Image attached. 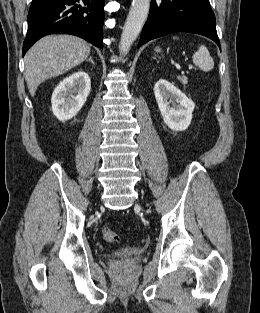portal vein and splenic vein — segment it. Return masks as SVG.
Wrapping results in <instances>:
<instances>
[{"label": "portal vein and splenic vein", "mask_w": 260, "mask_h": 313, "mask_svg": "<svg viewBox=\"0 0 260 313\" xmlns=\"http://www.w3.org/2000/svg\"><path fill=\"white\" fill-rule=\"evenodd\" d=\"M192 68H193V66L190 65V66H189V69H192ZM183 73H184V72H182V74H183Z\"/></svg>", "instance_id": "portal-vein-and-splenic-vein-1"}]
</instances>
